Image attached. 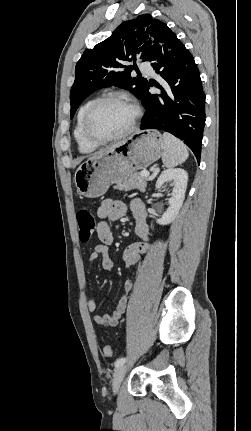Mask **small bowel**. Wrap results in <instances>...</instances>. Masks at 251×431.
<instances>
[{"mask_svg": "<svg viewBox=\"0 0 251 431\" xmlns=\"http://www.w3.org/2000/svg\"><path fill=\"white\" fill-rule=\"evenodd\" d=\"M131 210L136 220L135 232L140 241L130 244L123 253L125 266L129 269L135 265L150 249L148 242L149 228L146 222L147 212L144 204L140 200H134L131 203ZM127 213V206L119 200L105 199L100 203L97 210V216L100 221L97 224V237L99 243L94 247L90 254L89 262L93 263L96 259L101 258L102 267L107 271H112L114 263L109 257V247L114 242V235L109 227L108 221H117L123 218ZM133 287L131 280H126L124 288L130 291ZM128 297L122 296L110 314H98L96 303L92 297H88L87 307L92 313L93 321L100 326H116L118 320L126 310Z\"/></svg>", "mask_w": 251, "mask_h": 431, "instance_id": "obj_1", "label": "small bowel"}]
</instances>
